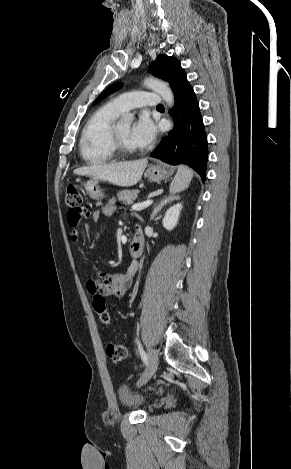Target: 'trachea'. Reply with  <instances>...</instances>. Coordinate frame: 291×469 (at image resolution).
<instances>
[{"label":"trachea","mask_w":291,"mask_h":469,"mask_svg":"<svg viewBox=\"0 0 291 469\" xmlns=\"http://www.w3.org/2000/svg\"><path fill=\"white\" fill-rule=\"evenodd\" d=\"M157 108H163V105L160 104V105L157 106Z\"/></svg>","instance_id":"3493384b"}]
</instances>
